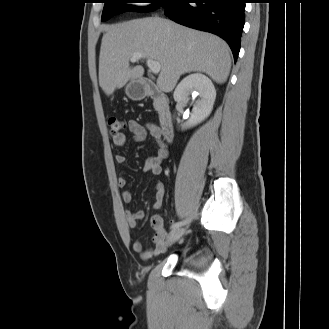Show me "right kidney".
<instances>
[{"mask_svg":"<svg viewBox=\"0 0 329 329\" xmlns=\"http://www.w3.org/2000/svg\"><path fill=\"white\" fill-rule=\"evenodd\" d=\"M198 95L189 120L183 125L190 128L207 118L214 105L216 91L211 80L201 73L190 74L185 77L176 87L173 97L177 103L185 104L189 96Z\"/></svg>","mask_w":329,"mask_h":329,"instance_id":"1","label":"right kidney"}]
</instances>
